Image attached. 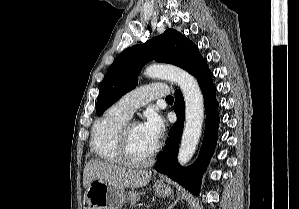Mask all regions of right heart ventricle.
I'll return each instance as SVG.
<instances>
[{"label":"right heart ventricle","instance_id":"e07e8e85","mask_svg":"<svg viewBox=\"0 0 299 209\" xmlns=\"http://www.w3.org/2000/svg\"><path fill=\"white\" fill-rule=\"evenodd\" d=\"M127 119L128 116L114 105L96 120L92 128L90 147L97 158L109 163H121L118 137Z\"/></svg>","mask_w":299,"mask_h":209}]
</instances>
